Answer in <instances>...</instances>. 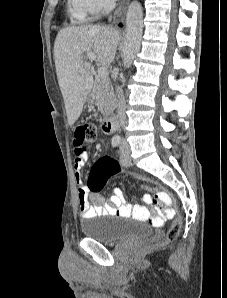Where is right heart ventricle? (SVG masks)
Returning <instances> with one entry per match:
<instances>
[{"label":"right heart ventricle","instance_id":"1","mask_svg":"<svg viewBox=\"0 0 227 298\" xmlns=\"http://www.w3.org/2000/svg\"><path fill=\"white\" fill-rule=\"evenodd\" d=\"M69 11L73 17L81 21L85 20L86 17L88 16L83 11L78 9L71 0H69Z\"/></svg>","mask_w":227,"mask_h":298}]
</instances>
